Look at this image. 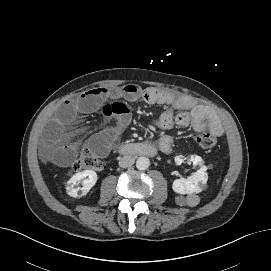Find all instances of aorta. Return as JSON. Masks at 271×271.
<instances>
[{
	"label": "aorta",
	"mask_w": 271,
	"mask_h": 271,
	"mask_svg": "<svg viewBox=\"0 0 271 271\" xmlns=\"http://www.w3.org/2000/svg\"><path fill=\"white\" fill-rule=\"evenodd\" d=\"M150 166V161L147 157H139L136 161V167L140 171L147 170Z\"/></svg>",
	"instance_id": "1"
}]
</instances>
